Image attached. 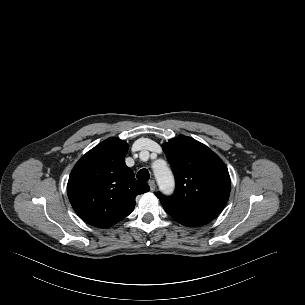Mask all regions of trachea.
<instances>
[{
	"instance_id": "1",
	"label": "trachea",
	"mask_w": 305,
	"mask_h": 305,
	"mask_svg": "<svg viewBox=\"0 0 305 305\" xmlns=\"http://www.w3.org/2000/svg\"><path fill=\"white\" fill-rule=\"evenodd\" d=\"M136 177H137V179H139L141 181H148L150 178L149 171L147 169H141L137 173Z\"/></svg>"
}]
</instances>
